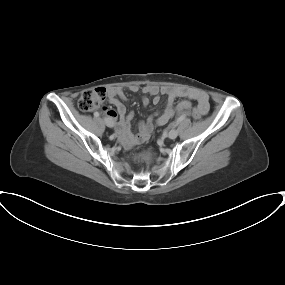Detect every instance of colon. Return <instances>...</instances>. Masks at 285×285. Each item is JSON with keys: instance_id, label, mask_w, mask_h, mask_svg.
I'll use <instances>...</instances> for the list:
<instances>
[{"instance_id": "colon-1", "label": "colon", "mask_w": 285, "mask_h": 285, "mask_svg": "<svg viewBox=\"0 0 285 285\" xmlns=\"http://www.w3.org/2000/svg\"><path fill=\"white\" fill-rule=\"evenodd\" d=\"M106 98V92L103 88H95L84 91L78 100V107L84 112H90L100 108ZM189 114L194 119H201L203 116L199 108H191ZM154 158V153L151 150H143L135 155V159L139 162L149 164Z\"/></svg>"}]
</instances>
